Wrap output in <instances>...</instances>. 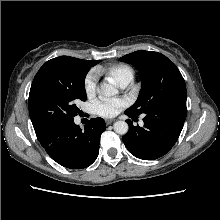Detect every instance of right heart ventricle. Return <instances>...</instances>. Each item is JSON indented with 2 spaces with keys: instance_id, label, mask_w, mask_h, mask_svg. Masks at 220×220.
Returning a JSON list of instances; mask_svg holds the SVG:
<instances>
[{
  "instance_id": "1",
  "label": "right heart ventricle",
  "mask_w": 220,
  "mask_h": 220,
  "mask_svg": "<svg viewBox=\"0 0 220 220\" xmlns=\"http://www.w3.org/2000/svg\"><path fill=\"white\" fill-rule=\"evenodd\" d=\"M100 71L104 72L117 86L122 82H131L134 78L133 69L126 64H114Z\"/></svg>"
}]
</instances>
